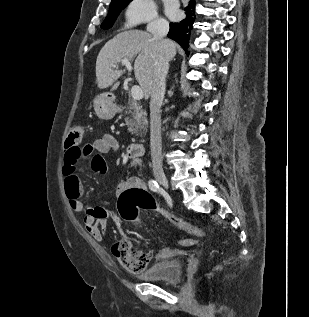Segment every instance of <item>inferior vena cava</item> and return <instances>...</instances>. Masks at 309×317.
<instances>
[{"label":"inferior vena cava","mask_w":309,"mask_h":317,"mask_svg":"<svg viewBox=\"0 0 309 317\" xmlns=\"http://www.w3.org/2000/svg\"><path fill=\"white\" fill-rule=\"evenodd\" d=\"M153 37L161 43V50L157 57L154 77L152 81L150 100V149L153 171L162 172V141L160 108L165 94L166 76L169 61L172 58L174 45L164 39L169 31V23L165 19H155L147 27Z\"/></svg>","instance_id":"1"}]
</instances>
